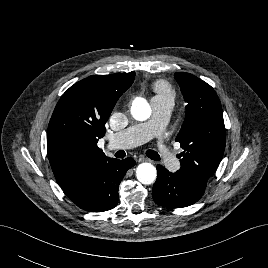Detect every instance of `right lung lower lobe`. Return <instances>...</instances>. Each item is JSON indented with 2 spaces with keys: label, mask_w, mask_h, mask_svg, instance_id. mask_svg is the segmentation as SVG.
<instances>
[{
  "label": "right lung lower lobe",
  "mask_w": 268,
  "mask_h": 268,
  "mask_svg": "<svg viewBox=\"0 0 268 268\" xmlns=\"http://www.w3.org/2000/svg\"><path fill=\"white\" fill-rule=\"evenodd\" d=\"M135 165L133 158L111 159L90 180L84 194L73 202L83 210L103 212L118 203V187L127 170Z\"/></svg>",
  "instance_id": "98d812e1"
}]
</instances>
